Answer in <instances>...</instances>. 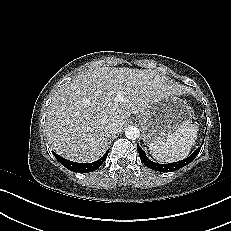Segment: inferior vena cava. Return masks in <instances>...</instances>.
<instances>
[{
	"instance_id": "inferior-vena-cava-1",
	"label": "inferior vena cava",
	"mask_w": 231,
	"mask_h": 231,
	"mask_svg": "<svg viewBox=\"0 0 231 231\" xmlns=\"http://www.w3.org/2000/svg\"><path fill=\"white\" fill-rule=\"evenodd\" d=\"M106 129L111 135H115L119 132L118 126H116V124L108 125Z\"/></svg>"
}]
</instances>
